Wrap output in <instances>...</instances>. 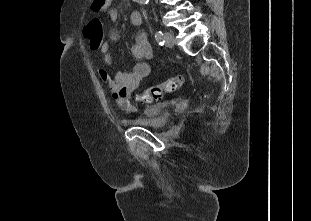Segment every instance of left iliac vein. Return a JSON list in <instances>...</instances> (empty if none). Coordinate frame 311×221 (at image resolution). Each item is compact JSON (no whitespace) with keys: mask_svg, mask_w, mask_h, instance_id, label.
I'll return each instance as SVG.
<instances>
[{"mask_svg":"<svg viewBox=\"0 0 311 221\" xmlns=\"http://www.w3.org/2000/svg\"><path fill=\"white\" fill-rule=\"evenodd\" d=\"M175 44V39L172 33L166 32L165 33V45L169 48H172Z\"/></svg>","mask_w":311,"mask_h":221,"instance_id":"1","label":"left iliac vein"}]
</instances>
